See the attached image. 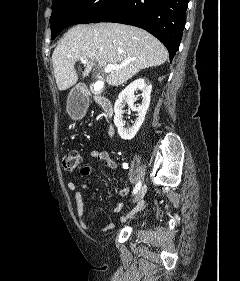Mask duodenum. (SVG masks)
I'll return each instance as SVG.
<instances>
[{
	"mask_svg": "<svg viewBox=\"0 0 240 281\" xmlns=\"http://www.w3.org/2000/svg\"><path fill=\"white\" fill-rule=\"evenodd\" d=\"M86 101H87L86 98H83V100H81L80 103L85 105ZM96 102L102 107V109L104 110L106 115H108V116L112 115V113H113L112 105L107 98L98 96V97H96ZM109 134H111V135L113 134L112 126H110V128H109Z\"/></svg>",
	"mask_w": 240,
	"mask_h": 281,
	"instance_id": "410a0bca",
	"label": "duodenum"
}]
</instances>
